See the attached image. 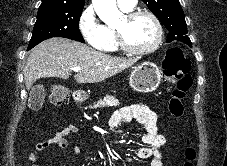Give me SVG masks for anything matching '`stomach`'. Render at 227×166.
Masks as SVG:
<instances>
[{"label":"stomach","mask_w":227,"mask_h":166,"mask_svg":"<svg viewBox=\"0 0 227 166\" xmlns=\"http://www.w3.org/2000/svg\"><path fill=\"white\" fill-rule=\"evenodd\" d=\"M162 73L158 66L152 62H143L136 66L130 75V85L138 92L149 93L157 89L161 82ZM79 97L86 98L85 93Z\"/></svg>","instance_id":"0dacf381"}]
</instances>
